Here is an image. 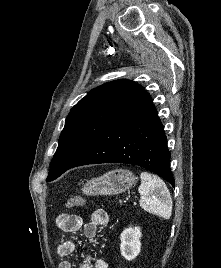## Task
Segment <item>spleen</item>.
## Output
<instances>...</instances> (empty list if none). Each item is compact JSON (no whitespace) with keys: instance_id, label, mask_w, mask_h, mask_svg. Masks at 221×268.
<instances>
[{"instance_id":"3e777b00","label":"spleen","mask_w":221,"mask_h":268,"mask_svg":"<svg viewBox=\"0 0 221 268\" xmlns=\"http://www.w3.org/2000/svg\"><path fill=\"white\" fill-rule=\"evenodd\" d=\"M140 178V206L151 214L169 219L172 213V199L166 184L158 176L148 172H142Z\"/></svg>"}]
</instances>
